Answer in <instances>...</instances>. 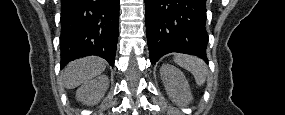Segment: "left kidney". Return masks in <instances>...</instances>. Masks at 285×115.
<instances>
[{
  "label": "left kidney",
  "instance_id": "1",
  "mask_svg": "<svg viewBox=\"0 0 285 115\" xmlns=\"http://www.w3.org/2000/svg\"><path fill=\"white\" fill-rule=\"evenodd\" d=\"M160 75L166 92L173 102L187 105L192 101L190 86L181 70L170 64H163Z\"/></svg>",
  "mask_w": 285,
  "mask_h": 115
}]
</instances>
